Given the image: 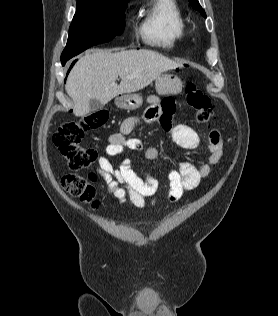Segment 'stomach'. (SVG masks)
Masks as SVG:
<instances>
[{
	"mask_svg": "<svg viewBox=\"0 0 278 316\" xmlns=\"http://www.w3.org/2000/svg\"><path fill=\"white\" fill-rule=\"evenodd\" d=\"M155 88L159 95L177 94L182 89V82L175 75L161 74L156 78ZM115 104L121 109L135 110L142 105V97L138 94H125L117 97Z\"/></svg>",
	"mask_w": 278,
	"mask_h": 316,
	"instance_id": "1",
	"label": "stomach"
}]
</instances>
